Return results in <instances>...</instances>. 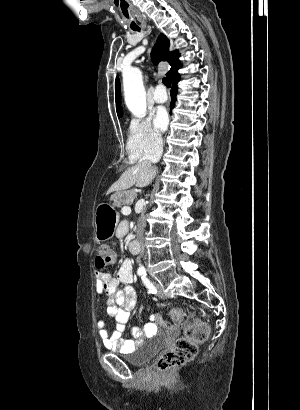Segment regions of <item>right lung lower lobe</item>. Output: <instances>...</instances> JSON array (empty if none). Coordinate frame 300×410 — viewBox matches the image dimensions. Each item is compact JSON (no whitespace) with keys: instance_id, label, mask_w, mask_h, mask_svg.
<instances>
[{"instance_id":"obj_1","label":"right lung lower lobe","mask_w":300,"mask_h":410,"mask_svg":"<svg viewBox=\"0 0 300 410\" xmlns=\"http://www.w3.org/2000/svg\"><path fill=\"white\" fill-rule=\"evenodd\" d=\"M179 81V74L176 73L172 78H171V82H172V91H171V109L174 108L175 106V101H176V95H177V83ZM171 114V111H170Z\"/></svg>"}]
</instances>
